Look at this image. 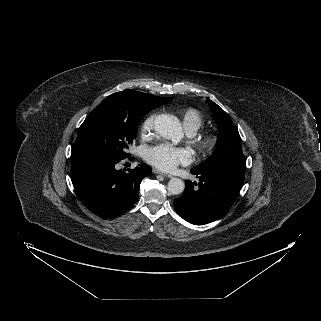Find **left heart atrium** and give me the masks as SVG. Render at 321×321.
<instances>
[{"mask_svg":"<svg viewBox=\"0 0 321 321\" xmlns=\"http://www.w3.org/2000/svg\"><path fill=\"white\" fill-rule=\"evenodd\" d=\"M145 159L161 170L170 171L178 165L189 164L192 158L190 152L185 148L160 144L147 149Z\"/></svg>","mask_w":321,"mask_h":321,"instance_id":"39dd6f15","label":"left heart atrium"}]
</instances>
